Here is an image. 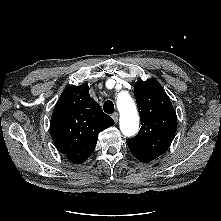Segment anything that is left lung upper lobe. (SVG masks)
<instances>
[{"label": "left lung upper lobe", "mask_w": 221, "mask_h": 221, "mask_svg": "<svg viewBox=\"0 0 221 221\" xmlns=\"http://www.w3.org/2000/svg\"><path fill=\"white\" fill-rule=\"evenodd\" d=\"M134 95L142 127L137 136L126 139V142L134 157L141 162H149L170 146L177 129V116L170 99L156 80L137 83Z\"/></svg>", "instance_id": "5c2ea615"}]
</instances>
